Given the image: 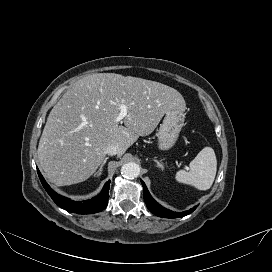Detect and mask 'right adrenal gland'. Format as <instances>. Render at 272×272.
Masks as SVG:
<instances>
[{"label":"right adrenal gland","instance_id":"right-adrenal-gland-1","mask_svg":"<svg viewBox=\"0 0 272 272\" xmlns=\"http://www.w3.org/2000/svg\"><path fill=\"white\" fill-rule=\"evenodd\" d=\"M108 159H109V157H106V158L104 159V161L102 162L100 168H99L98 171L95 173V175L100 176V175L102 174L103 167H104V165L106 164V162H107Z\"/></svg>","mask_w":272,"mask_h":272}]
</instances>
